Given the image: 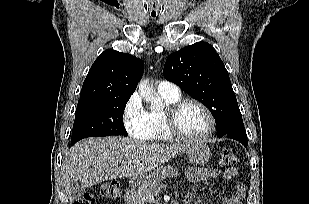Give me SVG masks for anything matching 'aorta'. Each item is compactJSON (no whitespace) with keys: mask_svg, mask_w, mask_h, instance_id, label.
<instances>
[{"mask_svg":"<svg viewBox=\"0 0 309 204\" xmlns=\"http://www.w3.org/2000/svg\"><path fill=\"white\" fill-rule=\"evenodd\" d=\"M138 90L140 96L150 104L151 109L159 110L162 108L163 104L161 101L154 97V91L152 87L148 86L145 82H140L138 85Z\"/></svg>","mask_w":309,"mask_h":204,"instance_id":"aorta-1","label":"aorta"}]
</instances>
